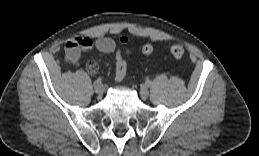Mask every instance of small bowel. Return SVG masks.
<instances>
[{
  "label": "small bowel",
  "instance_id": "1",
  "mask_svg": "<svg viewBox=\"0 0 259 156\" xmlns=\"http://www.w3.org/2000/svg\"><path fill=\"white\" fill-rule=\"evenodd\" d=\"M115 42L109 37H99L92 40L88 37H75L67 41L65 51L68 58L77 62L82 51L98 50L105 54H110L115 51ZM87 71L94 75L98 71V64L95 61H89L87 64Z\"/></svg>",
  "mask_w": 259,
  "mask_h": 156
}]
</instances>
